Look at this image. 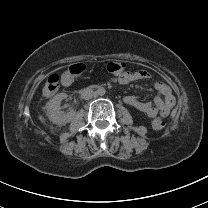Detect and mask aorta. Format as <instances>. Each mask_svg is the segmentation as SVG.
Returning <instances> with one entry per match:
<instances>
[{"instance_id": "aorta-1", "label": "aorta", "mask_w": 208, "mask_h": 208, "mask_svg": "<svg viewBox=\"0 0 208 208\" xmlns=\"http://www.w3.org/2000/svg\"><path fill=\"white\" fill-rule=\"evenodd\" d=\"M96 94L98 96H104L106 94V89L104 87H98L96 89Z\"/></svg>"}]
</instances>
